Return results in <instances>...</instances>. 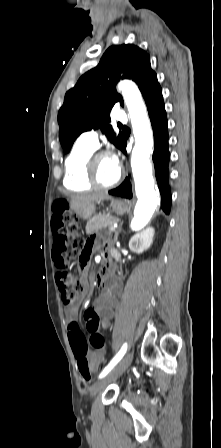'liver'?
I'll return each instance as SVG.
<instances>
[{
	"instance_id": "1",
	"label": "liver",
	"mask_w": 221,
	"mask_h": 448,
	"mask_svg": "<svg viewBox=\"0 0 221 448\" xmlns=\"http://www.w3.org/2000/svg\"><path fill=\"white\" fill-rule=\"evenodd\" d=\"M107 199H110V197L106 192L77 195V196L72 197V206L73 207H80V206L84 207V206L91 205L94 203H100Z\"/></svg>"
}]
</instances>
